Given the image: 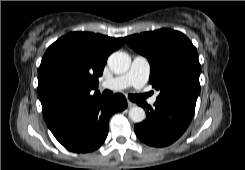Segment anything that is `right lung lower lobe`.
<instances>
[{"label": "right lung lower lobe", "instance_id": "1", "mask_svg": "<svg viewBox=\"0 0 245 170\" xmlns=\"http://www.w3.org/2000/svg\"><path fill=\"white\" fill-rule=\"evenodd\" d=\"M126 107L127 101L122 94L108 99L101 96L74 111L51 132L68 150L91 152L107 137L111 115Z\"/></svg>", "mask_w": 245, "mask_h": 170}]
</instances>
